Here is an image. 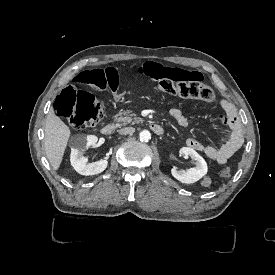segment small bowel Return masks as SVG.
<instances>
[{
  "label": "small bowel",
  "mask_w": 275,
  "mask_h": 275,
  "mask_svg": "<svg viewBox=\"0 0 275 275\" xmlns=\"http://www.w3.org/2000/svg\"><path fill=\"white\" fill-rule=\"evenodd\" d=\"M141 72L152 81L164 80L184 83V79L187 76H194L197 79V84H201L204 81V74L201 71L182 70L173 64L160 65L149 62L144 65ZM104 73L107 83L110 84L114 99L120 101L127 98L129 92L127 89L121 88V83L117 80V72L114 68L108 66L105 68ZM219 105L228 123L226 135L219 137L217 145L204 144L195 138H188L186 144L219 165H224L242 146L243 135L239 115L234 105L225 99H221ZM170 115L180 126L185 128L190 126L189 119L184 115L180 107H173L170 110Z\"/></svg>",
  "instance_id": "small-bowel-1"
}]
</instances>
